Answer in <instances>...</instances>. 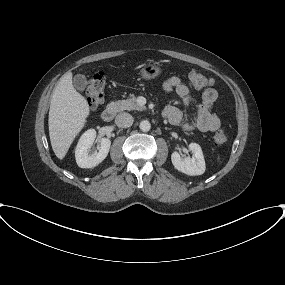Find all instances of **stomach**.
Listing matches in <instances>:
<instances>
[{
    "label": "stomach",
    "mask_w": 285,
    "mask_h": 285,
    "mask_svg": "<svg viewBox=\"0 0 285 285\" xmlns=\"http://www.w3.org/2000/svg\"><path fill=\"white\" fill-rule=\"evenodd\" d=\"M162 73V68L159 63H147L141 66L140 75L145 80H150L158 77Z\"/></svg>",
    "instance_id": "obj_1"
}]
</instances>
